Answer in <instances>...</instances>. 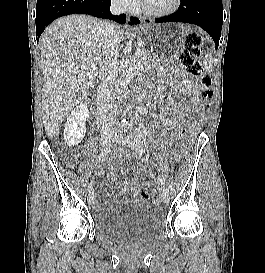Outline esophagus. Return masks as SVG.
<instances>
[{
  "mask_svg": "<svg viewBox=\"0 0 265 273\" xmlns=\"http://www.w3.org/2000/svg\"><path fill=\"white\" fill-rule=\"evenodd\" d=\"M127 22L128 25L132 27H138L142 25V19L135 16H129Z\"/></svg>",
  "mask_w": 265,
  "mask_h": 273,
  "instance_id": "obj_1",
  "label": "esophagus"
}]
</instances>
